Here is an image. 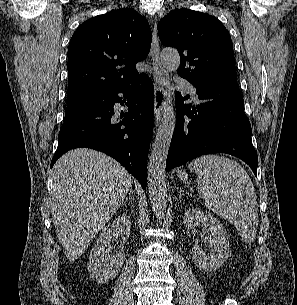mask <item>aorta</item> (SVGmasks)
<instances>
[{"label":"aorta","instance_id":"obj_1","mask_svg":"<svg viewBox=\"0 0 297 305\" xmlns=\"http://www.w3.org/2000/svg\"><path fill=\"white\" fill-rule=\"evenodd\" d=\"M161 62L169 72H176L180 67V56L176 49L166 48L161 52ZM176 124L174 107L169 104L164 109L148 163V189L151 207L157 218H162L166 211L167 189L165 167L168 150Z\"/></svg>","mask_w":297,"mask_h":305}]
</instances>
